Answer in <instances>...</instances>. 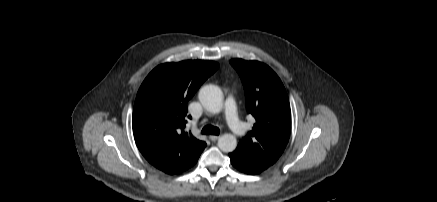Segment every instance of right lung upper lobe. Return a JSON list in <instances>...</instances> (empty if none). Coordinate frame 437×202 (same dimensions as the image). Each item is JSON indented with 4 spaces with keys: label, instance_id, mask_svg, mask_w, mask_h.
<instances>
[{
    "label": "right lung upper lobe",
    "instance_id": "cb5924a9",
    "mask_svg": "<svg viewBox=\"0 0 437 202\" xmlns=\"http://www.w3.org/2000/svg\"><path fill=\"white\" fill-rule=\"evenodd\" d=\"M219 65L188 60L157 66L140 86L133 109L136 145L156 168L176 174L198 157L204 141L186 132L187 103Z\"/></svg>",
    "mask_w": 437,
    "mask_h": 202
}]
</instances>
